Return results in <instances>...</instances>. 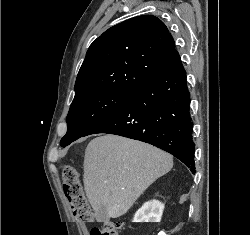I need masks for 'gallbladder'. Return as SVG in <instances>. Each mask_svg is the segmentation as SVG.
Here are the masks:
<instances>
[{
	"label": "gallbladder",
	"mask_w": 250,
	"mask_h": 235,
	"mask_svg": "<svg viewBox=\"0 0 250 235\" xmlns=\"http://www.w3.org/2000/svg\"><path fill=\"white\" fill-rule=\"evenodd\" d=\"M110 220V217L107 213V209L105 206H101L98 211V221L107 223Z\"/></svg>",
	"instance_id": "bac80fb5"
}]
</instances>
